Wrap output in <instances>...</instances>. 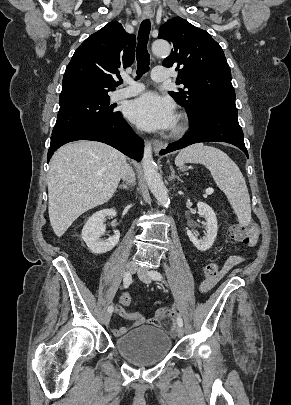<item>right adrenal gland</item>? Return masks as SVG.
Here are the masks:
<instances>
[{"mask_svg":"<svg viewBox=\"0 0 291 405\" xmlns=\"http://www.w3.org/2000/svg\"><path fill=\"white\" fill-rule=\"evenodd\" d=\"M119 188L128 190L130 188V184L129 183H123V184L119 185Z\"/></svg>","mask_w":291,"mask_h":405,"instance_id":"1","label":"right adrenal gland"}]
</instances>
